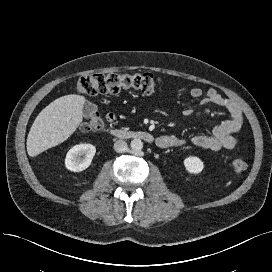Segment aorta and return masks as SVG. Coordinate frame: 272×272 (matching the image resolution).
Segmentation results:
<instances>
[{
	"label": "aorta",
	"mask_w": 272,
	"mask_h": 272,
	"mask_svg": "<svg viewBox=\"0 0 272 272\" xmlns=\"http://www.w3.org/2000/svg\"><path fill=\"white\" fill-rule=\"evenodd\" d=\"M130 146L133 152L139 153L143 149V142L141 139H133L130 143Z\"/></svg>",
	"instance_id": "762f6f07"
}]
</instances>
